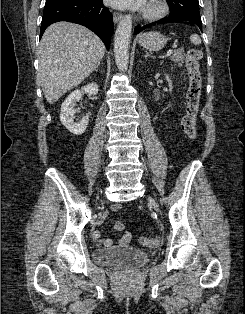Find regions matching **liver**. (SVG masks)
Segmentation results:
<instances>
[{
  "mask_svg": "<svg viewBox=\"0 0 245 314\" xmlns=\"http://www.w3.org/2000/svg\"><path fill=\"white\" fill-rule=\"evenodd\" d=\"M101 39L78 24L57 22L44 32L38 48V81L49 104L77 87L100 63Z\"/></svg>",
  "mask_w": 245,
  "mask_h": 314,
  "instance_id": "1",
  "label": "liver"
}]
</instances>
